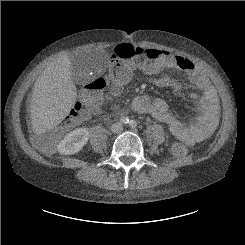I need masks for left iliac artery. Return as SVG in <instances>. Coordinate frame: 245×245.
<instances>
[{"mask_svg":"<svg viewBox=\"0 0 245 245\" xmlns=\"http://www.w3.org/2000/svg\"><path fill=\"white\" fill-rule=\"evenodd\" d=\"M129 125L133 128L137 126V122L135 120H130Z\"/></svg>","mask_w":245,"mask_h":245,"instance_id":"1","label":"left iliac artery"}]
</instances>
